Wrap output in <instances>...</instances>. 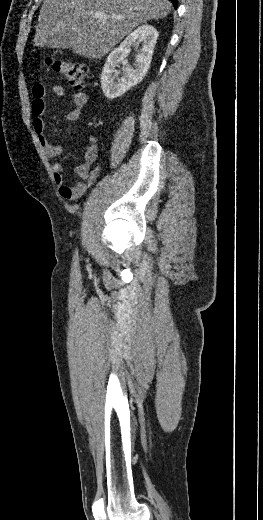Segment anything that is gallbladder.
<instances>
[{
	"mask_svg": "<svg viewBox=\"0 0 263 520\" xmlns=\"http://www.w3.org/2000/svg\"><path fill=\"white\" fill-rule=\"evenodd\" d=\"M50 41L53 40L52 44L49 47L56 49H68L71 47V36L61 33H56L53 37L49 38Z\"/></svg>",
	"mask_w": 263,
	"mask_h": 520,
	"instance_id": "bac80fb5",
	"label": "gallbladder"
}]
</instances>
